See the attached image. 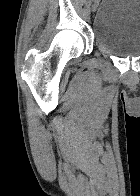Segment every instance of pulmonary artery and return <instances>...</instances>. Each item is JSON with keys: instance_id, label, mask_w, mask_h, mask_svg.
<instances>
[{"instance_id": "obj_1", "label": "pulmonary artery", "mask_w": 140, "mask_h": 196, "mask_svg": "<svg viewBox=\"0 0 140 196\" xmlns=\"http://www.w3.org/2000/svg\"><path fill=\"white\" fill-rule=\"evenodd\" d=\"M68 192H85V191H68Z\"/></svg>"}]
</instances>
